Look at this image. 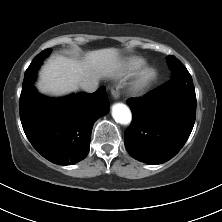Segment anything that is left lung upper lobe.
Returning a JSON list of instances; mask_svg holds the SVG:
<instances>
[{
  "label": "left lung upper lobe",
  "instance_id": "left-lung-upper-lobe-1",
  "mask_svg": "<svg viewBox=\"0 0 222 222\" xmlns=\"http://www.w3.org/2000/svg\"><path fill=\"white\" fill-rule=\"evenodd\" d=\"M168 65L172 70L173 77H177L182 74H189L188 70L184 67V65H182V63L172 55L168 57Z\"/></svg>",
  "mask_w": 222,
  "mask_h": 222
}]
</instances>
